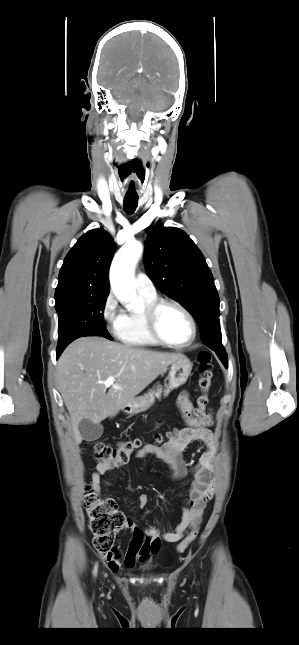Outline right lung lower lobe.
Segmentation results:
<instances>
[{"label": "right lung lower lobe", "instance_id": "98d812e1", "mask_svg": "<svg viewBox=\"0 0 299 645\" xmlns=\"http://www.w3.org/2000/svg\"><path fill=\"white\" fill-rule=\"evenodd\" d=\"M61 353L62 351H57V358L60 356Z\"/></svg>", "mask_w": 299, "mask_h": 645}]
</instances>
